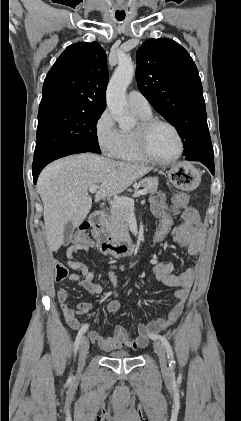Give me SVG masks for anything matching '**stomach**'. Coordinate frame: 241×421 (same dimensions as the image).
<instances>
[{"label":"stomach","mask_w":241,"mask_h":421,"mask_svg":"<svg viewBox=\"0 0 241 421\" xmlns=\"http://www.w3.org/2000/svg\"><path fill=\"white\" fill-rule=\"evenodd\" d=\"M167 174L174 186L185 191L195 189L201 181L200 172L187 162H180L171 166Z\"/></svg>","instance_id":"stomach-1"}]
</instances>
